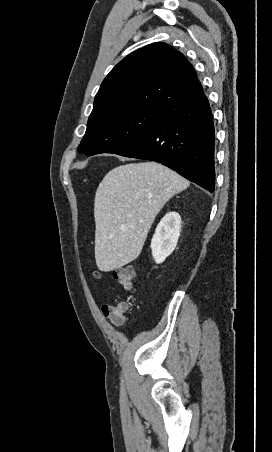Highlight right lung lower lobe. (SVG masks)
Masks as SVG:
<instances>
[{"instance_id":"98d812e1","label":"right lung lower lobe","mask_w":272,"mask_h":452,"mask_svg":"<svg viewBox=\"0 0 272 452\" xmlns=\"http://www.w3.org/2000/svg\"><path fill=\"white\" fill-rule=\"evenodd\" d=\"M214 124L202 89L162 113L118 155L161 163L211 193L215 189Z\"/></svg>"}]
</instances>
